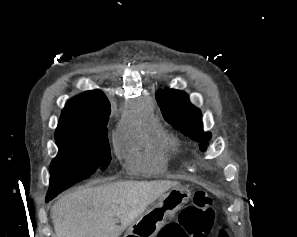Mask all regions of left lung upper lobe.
I'll use <instances>...</instances> for the list:
<instances>
[{"label":"left lung upper lobe","mask_w":297,"mask_h":237,"mask_svg":"<svg viewBox=\"0 0 297 237\" xmlns=\"http://www.w3.org/2000/svg\"><path fill=\"white\" fill-rule=\"evenodd\" d=\"M156 99L165 120L185 136L199 142L201 151H205L210 133L203 131L202 115L193 106L183 91L165 88L156 92Z\"/></svg>","instance_id":"5c2ea615"}]
</instances>
